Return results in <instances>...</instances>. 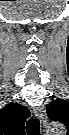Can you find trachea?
Wrapping results in <instances>:
<instances>
[{
  "label": "trachea",
  "mask_w": 69,
  "mask_h": 135,
  "mask_svg": "<svg viewBox=\"0 0 69 135\" xmlns=\"http://www.w3.org/2000/svg\"><path fill=\"white\" fill-rule=\"evenodd\" d=\"M26 131L28 135H40L39 119H31L27 122Z\"/></svg>",
  "instance_id": "obj_1"
}]
</instances>
